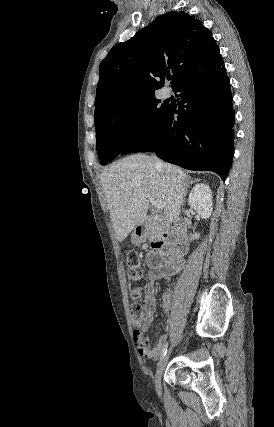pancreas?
Listing matches in <instances>:
<instances>
[{
	"label": "pancreas",
	"instance_id": "cf45deb5",
	"mask_svg": "<svg viewBox=\"0 0 274 427\" xmlns=\"http://www.w3.org/2000/svg\"><path fill=\"white\" fill-rule=\"evenodd\" d=\"M161 233L162 229H160L158 223H156L155 219H151V225H148L146 233L148 239H157Z\"/></svg>",
	"mask_w": 274,
	"mask_h": 427
}]
</instances>
